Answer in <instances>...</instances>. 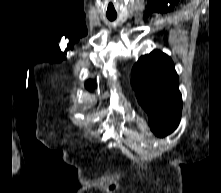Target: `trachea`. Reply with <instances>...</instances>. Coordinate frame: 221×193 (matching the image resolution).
I'll list each match as a JSON object with an SVG mask.
<instances>
[{
    "instance_id": "obj_1",
    "label": "trachea",
    "mask_w": 221,
    "mask_h": 193,
    "mask_svg": "<svg viewBox=\"0 0 221 193\" xmlns=\"http://www.w3.org/2000/svg\"><path fill=\"white\" fill-rule=\"evenodd\" d=\"M117 15H107V18L110 20V21H114L116 19Z\"/></svg>"
}]
</instances>
